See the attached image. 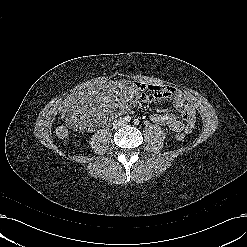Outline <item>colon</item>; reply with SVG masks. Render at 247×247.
Returning <instances> with one entry per match:
<instances>
[{
    "label": "colon",
    "mask_w": 247,
    "mask_h": 247,
    "mask_svg": "<svg viewBox=\"0 0 247 247\" xmlns=\"http://www.w3.org/2000/svg\"><path fill=\"white\" fill-rule=\"evenodd\" d=\"M147 92H148V96L154 95V92L150 89H148ZM55 132L59 138H65L69 133L67 126L63 123H58L56 125ZM175 137L177 140H182L185 137V133L183 131H177L175 133Z\"/></svg>",
    "instance_id": "obj_1"
}]
</instances>
